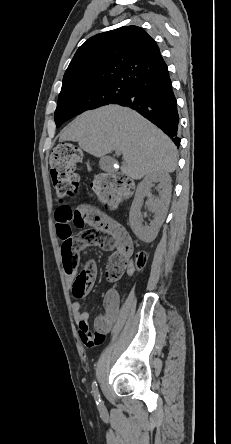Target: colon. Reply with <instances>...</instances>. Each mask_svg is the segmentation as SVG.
Listing matches in <instances>:
<instances>
[{
	"label": "colon",
	"mask_w": 231,
	"mask_h": 444,
	"mask_svg": "<svg viewBox=\"0 0 231 444\" xmlns=\"http://www.w3.org/2000/svg\"><path fill=\"white\" fill-rule=\"evenodd\" d=\"M80 151L70 144L58 146L50 157V175L53 186L60 197L72 195L78 186L79 175L77 164L80 161ZM133 182L122 174H105L98 177L93 183V188L108 207H115L119 201L133 190ZM73 224L78 228H83L87 223V218L79 212L72 215ZM130 256L125 251H115L110 257L106 276L110 281H117L123 275L129 264ZM64 268L76 270L78 265V254L74 251H65L62 257ZM147 261L145 253H139L134 260L136 269L142 268ZM95 268L92 263H88L85 268L79 271L73 280L72 292L75 297L84 296L91 288Z\"/></svg>",
	"instance_id": "1"
}]
</instances>
